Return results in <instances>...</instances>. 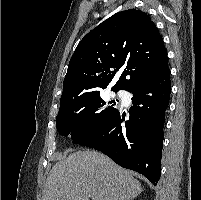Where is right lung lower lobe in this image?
I'll use <instances>...</instances> for the list:
<instances>
[{"label": "right lung lower lobe", "mask_w": 201, "mask_h": 200, "mask_svg": "<svg viewBox=\"0 0 201 200\" xmlns=\"http://www.w3.org/2000/svg\"><path fill=\"white\" fill-rule=\"evenodd\" d=\"M130 92L133 106L125 127L121 126L123 115L117 111L99 129L73 143L100 150L156 185L161 175L163 126L171 93L170 70Z\"/></svg>", "instance_id": "98d812e1"}]
</instances>
